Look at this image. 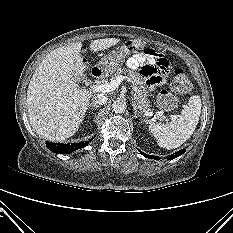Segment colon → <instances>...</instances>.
Returning <instances> with one entry per match:
<instances>
[{
	"label": "colon",
	"instance_id": "1",
	"mask_svg": "<svg viewBox=\"0 0 233 233\" xmlns=\"http://www.w3.org/2000/svg\"><path fill=\"white\" fill-rule=\"evenodd\" d=\"M171 88L176 93H186L191 88V83L185 71L178 68L174 71ZM158 105L163 110H173L178 106V99L168 91H162L158 96Z\"/></svg>",
	"mask_w": 233,
	"mask_h": 233
}]
</instances>
